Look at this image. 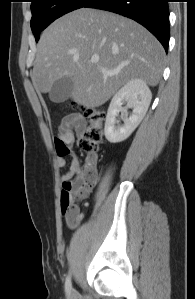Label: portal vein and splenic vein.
Segmentation results:
<instances>
[{"mask_svg":"<svg viewBox=\"0 0 195 299\" xmlns=\"http://www.w3.org/2000/svg\"><path fill=\"white\" fill-rule=\"evenodd\" d=\"M98 61H99V57H97V56H94V57H92V59H91V62L92 63H98ZM103 72H106V73H108V74H112V73H110V72H107L106 70H102Z\"/></svg>","mask_w":195,"mask_h":299,"instance_id":"obj_1","label":"portal vein and splenic vein"}]
</instances>
